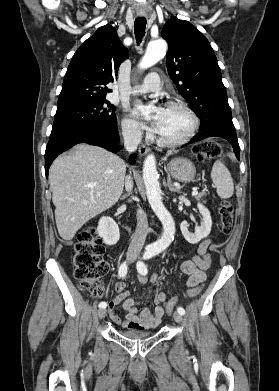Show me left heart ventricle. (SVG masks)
<instances>
[{"label": "left heart ventricle", "mask_w": 279, "mask_h": 391, "mask_svg": "<svg viewBox=\"0 0 279 391\" xmlns=\"http://www.w3.org/2000/svg\"><path fill=\"white\" fill-rule=\"evenodd\" d=\"M191 127L189 115L181 108H166L158 133L169 140L182 138Z\"/></svg>", "instance_id": "obj_1"}]
</instances>
